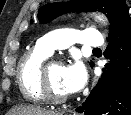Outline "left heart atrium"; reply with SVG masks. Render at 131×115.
<instances>
[{
  "label": "left heart atrium",
  "mask_w": 131,
  "mask_h": 115,
  "mask_svg": "<svg viewBox=\"0 0 131 115\" xmlns=\"http://www.w3.org/2000/svg\"><path fill=\"white\" fill-rule=\"evenodd\" d=\"M85 81V71L83 66L76 62L62 68L63 87L67 93L79 90Z\"/></svg>",
  "instance_id": "39dd6f15"
}]
</instances>
